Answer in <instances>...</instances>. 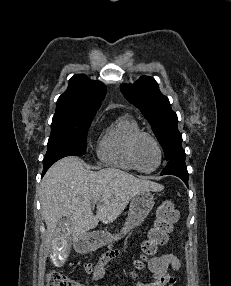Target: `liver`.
Here are the masks:
<instances>
[{"label":"liver","instance_id":"liver-1","mask_svg":"<svg viewBox=\"0 0 231 286\" xmlns=\"http://www.w3.org/2000/svg\"><path fill=\"white\" fill-rule=\"evenodd\" d=\"M163 189L160 184L116 168L89 171L78 157H65L47 171L41 182V212L48 240L55 244L53 237L59 234L56 229L62 218L71 219V239L77 241L99 221L109 224L116 220L135 195ZM93 204H97L96 215Z\"/></svg>","mask_w":231,"mask_h":286}]
</instances>
